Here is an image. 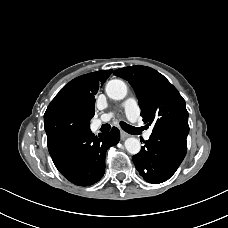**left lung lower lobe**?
Returning <instances> with one entry per match:
<instances>
[{"instance_id":"obj_1","label":"left lung lower lobe","mask_w":228,"mask_h":228,"mask_svg":"<svg viewBox=\"0 0 228 228\" xmlns=\"http://www.w3.org/2000/svg\"><path fill=\"white\" fill-rule=\"evenodd\" d=\"M141 151L133 156L140 175L149 183L168 180L183 161L187 140L172 132H152Z\"/></svg>"}]
</instances>
